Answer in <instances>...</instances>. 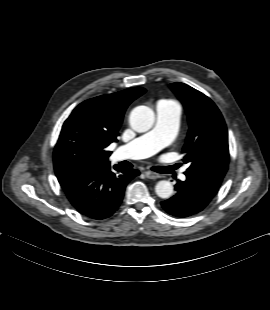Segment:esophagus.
Returning a JSON list of instances; mask_svg holds the SVG:
<instances>
[{
    "mask_svg": "<svg viewBox=\"0 0 270 310\" xmlns=\"http://www.w3.org/2000/svg\"><path fill=\"white\" fill-rule=\"evenodd\" d=\"M145 176L148 179H157L160 177V175L158 173L152 172V171H145Z\"/></svg>",
    "mask_w": 270,
    "mask_h": 310,
    "instance_id": "1",
    "label": "esophagus"
}]
</instances>
